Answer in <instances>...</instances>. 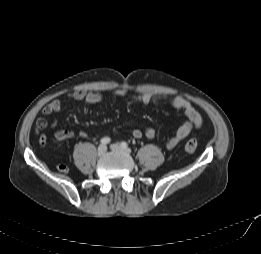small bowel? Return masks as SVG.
<instances>
[{
    "label": "small bowel",
    "instance_id": "c3829d8e",
    "mask_svg": "<svg viewBox=\"0 0 261 254\" xmlns=\"http://www.w3.org/2000/svg\"><path fill=\"white\" fill-rule=\"evenodd\" d=\"M115 95L118 97H126L128 96V92L125 89H119L115 91ZM158 97L157 94L146 91L139 93L136 96V99L143 104H149L154 101ZM67 98L76 100V101H83L87 104H98L102 102L103 97L99 93L95 92H85L83 90H76L69 94H67ZM164 99L171 104L174 108L180 109L184 112L186 116V121L177 129L175 135L170 138L167 142L168 149H174L179 145V143L184 140L192 131L193 128H199L202 125V117L200 113L194 108V106L186 99L179 97V96H164ZM62 110V102L60 98H56L49 102L43 108V115H54L59 113ZM57 121L54 119L51 123V127H55ZM48 123L44 117H40L36 122L35 132L39 135V140L42 146L46 145L47 137L43 130L47 127ZM156 131L154 128L150 127L147 128L144 132L139 129H134L132 131V135L134 138H141L145 136L149 139L154 138ZM81 137H86V133L81 131L79 133ZM74 137V132L69 129L58 130L54 133V138L56 140H69Z\"/></svg>",
    "mask_w": 261,
    "mask_h": 254
}]
</instances>
